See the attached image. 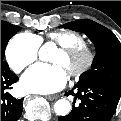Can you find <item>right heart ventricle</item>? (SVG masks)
Returning a JSON list of instances; mask_svg holds the SVG:
<instances>
[{
	"label": "right heart ventricle",
	"mask_w": 121,
	"mask_h": 121,
	"mask_svg": "<svg viewBox=\"0 0 121 121\" xmlns=\"http://www.w3.org/2000/svg\"><path fill=\"white\" fill-rule=\"evenodd\" d=\"M30 35L38 39L40 43L44 42V39L41 36L34 34ZM47 37L60 46L84 45L82 38L74 33L56 31L48 33Z\"/></svg>",
	"instance_id": "right-heart-ventricle-1"
}]
</instances>
